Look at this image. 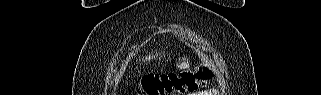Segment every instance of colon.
I'll return each mask as SVG.
<instances>
[{
	"label": "colon",
	"instance_id": "obj_1",
	"mask_svg": "<svg viewBox=\"0 0 321 95\" xmlns=\"http://www.w3.org/2000/svg\"><path fill=\"white\" fill-rule=\"evenodd\" d=\"M212 78V70L203 66L193 73L148 75L141 81L143 94H184L204 86Z\"/></svg>",
	"mask_w": 321,
	"mask_h": 95
}]
</instances>
